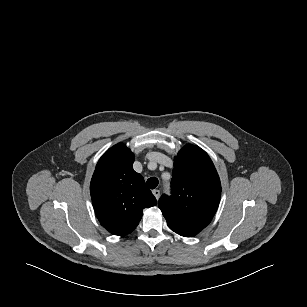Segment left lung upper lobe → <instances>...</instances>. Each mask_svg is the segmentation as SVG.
<instances>
[{
    "instance_id": "left-lung-upper-lobe-1",
    "label": "left lung upper lobe",
    "mask_w": 307,
    "mask_h": 307,
    "mask_svg": "<svg viewBox=\"0 0 307 307\" xmlns=\"http://www.w3.org/2000/svg\"><path fill=\"white\" fill-rule=\"evenodd\" d=\"M172 195H162L158 206L171 230L193 237L216 213L221 184L208 154L194 145L183 147L174 159Z\"/></svg>"
}]
</instances>
